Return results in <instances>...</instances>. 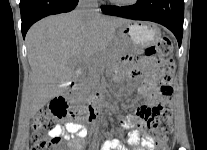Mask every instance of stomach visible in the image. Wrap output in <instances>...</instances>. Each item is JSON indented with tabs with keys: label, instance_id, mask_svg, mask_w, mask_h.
<instances>
[{
	"label": "stomach",
	"instance_id": "0dacf381",
	"mask_svg": "<svg viewBox=\"0 0 207 150\" xmlns=\"http://www.w3.org/2000/svg\"><path fill=\"white\" fill-rule=\"evenodd\" d=\"M160 29L154 25L128 22L117 31V43L119 55L125 52V44H133L139 48L154 44L159 36Z\"/></svg>",
	"mask_w": 207,
	"mask_h": 150
}]
</instances>
